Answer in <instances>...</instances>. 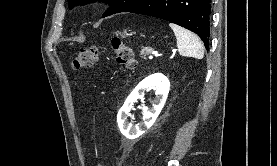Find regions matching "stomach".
Instances as JSON below:
<instances>
[{"label": "stomach", "instance_id": "stomach-1", "mask_svg": "<svg viewBox=\"0 0 277 166\" xmlns=\"http://www.w3.org/2000/svg\"><path fill=\"white\" fill-rule=\"evenodd\" d=\"M127 35H128V34L124 31L120 36H121L122 38H125Z\"/></svg>", "mask_w": 277, "mask_h": 166}]
</instances>
